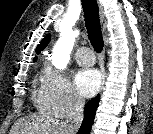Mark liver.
Segmentation results:
<instances>
[{"label": "liver", "mask_w": 153, "mask_h": 134, "mask_svg": "<svg viewBox=\"0 0 153 134\" xmlns=\"http://www.w3.org/2000/svg\"><path fill=\"white\" fill-rule=\"evenodd\" d=\"M14 134H64L62 124L49 116H35L31 122L15 124Z\"/></svg>", "instance_id": "liver-1"}]
</instances>
